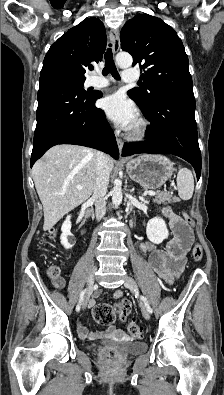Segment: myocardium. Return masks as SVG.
<instances>
[{
  "mask_svg": "<svg viewBox=\"0 0 224 395\" xmlns=\"http://www.w3.org/2000/svg\"><path fill=\"white\" fill-rule=\"evenodd\" d=\"M148 122L144 118H139L132 126L129 132V138L132 140H141L148 133Z\"/></svg>",
  "mask_w": 224,
  "mask_h": 395,
  "instance_id": "myocardium-1",
  "label": "myocardium"
}]
</instances>
